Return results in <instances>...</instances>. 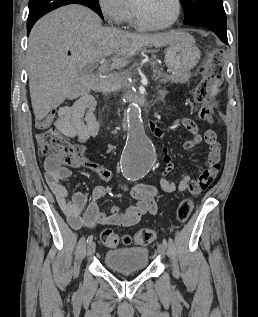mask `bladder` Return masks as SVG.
Segmentation results:
<instances>
[{"mask_svg":"<svg viewBox=\"0 0 258 317\" xmlns=\"http://www.w3.org/2000/svg\"><path fill=\"white\" fill-rule=\"evenodd\" d=\"M103 261L116 271H141L148 265L149 250L142 246L113 249L105 253Z\"/></svg>","mask_w":258,"mask_h":317,"instance_id":"31cf9c89","label":"bladder"}]
</instances>
